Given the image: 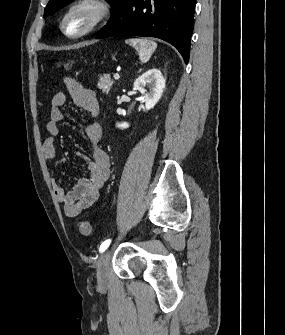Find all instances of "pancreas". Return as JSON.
Wrapping results in <instances>:
<instances>
[{
	"label": "pancreas",
	"mask_w": 285,
	"mask_h": 335,
	"mask_svg": "<svg viewBox=\"0 0 285 335\" xmlns=\"http://www.w3.org/2000/svg\"><path fill=\"white\" fill-rule=\"evenodd\" d=\"M114 82L111 78V74H100L99 82L97 84L98 88L102 90V92H109L110 88H112Z\"/></svg>",
	"instance_id": "cf45deb5"
}]
</instances>
